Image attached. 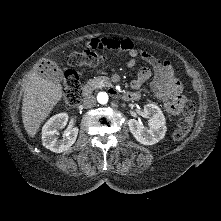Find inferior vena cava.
Returning <instances> with one entry per match:
<instances>
[{
  "label": "inferior vena cava",
  "mask_w": 221,
  "mask_h": 221,
  "mask_svg": "<svg viewBox=\"0 0 221 221\" xmlns=\"http://www.w3.org/2000/svg\"><path fill=\"white\" fill-rule=\"evenodd\" d=\"M95 104H96V98L93 95H88V96L84 97L83 106L85 108H91V107L95 106Z\"/></svg>",
  "instance_id": "602c4592"
}]
</instances>
